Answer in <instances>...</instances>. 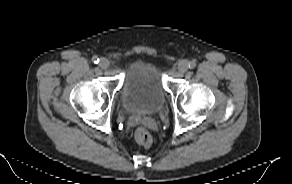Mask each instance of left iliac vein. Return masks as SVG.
Here are the masks:
<instances>
[{
	"label": "left iliac vein",
	"mask_w": 292,
	"mask_h": 184,
	"mask_svg": "<svg viewBox=\"0 0 292 184\" xmlns=\"http://www.w3.org/2000/svg\"><path fill=\"white\" fill-rule=\"evenodd\" d=\"M188 69V63L186 60H181L178 62V65H177V70L180 72V73H185Z\"/></svg>",
	"instance_id": "1"
}]
</instances>
